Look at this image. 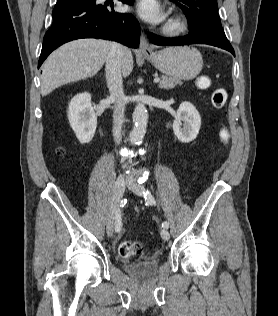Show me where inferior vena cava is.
Listing matches in <instances>:
<instances>
[{"label":"inferior vena cava","mask_w":278,"mask_h":316,"mask_svg":"<svg viewBox=\"0 0 278 316\" xmlns=\"http://www.w3.org/2000/svg\"><path fill=\"white\" fill-rule=\"evenodd\" d=\"M125 48L119 43H112L110 53L106 59V81L110 92V100L117 108L113 112V137L116 143L121 141V129L124 123L126 97L122 83V58Z\"/></svg>","instance_id":"602c4592"}]
</instances>
